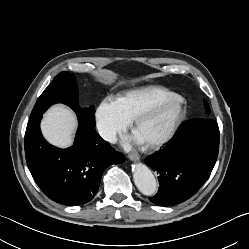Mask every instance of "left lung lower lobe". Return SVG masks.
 Here are the masks:
<instances>
[{
    "mask_svg": "<svg viewBox=\"0 0 249 249\" xmlns=\"http://www.w3.org/2000/svg\"><path fill=\"white\" fill-rule=\"evenodd\" d=\"M219 128L211 119L193 120L145 163L159 173L160 187L150 201L175 205L193 196L208 179L218 156Z\"/></svg>",
    "mask_w": 249,
    "mask_h": 249,
    "instance_id": "obj_1",
    "label": "left lung lower lobe"
}]
</instances>
